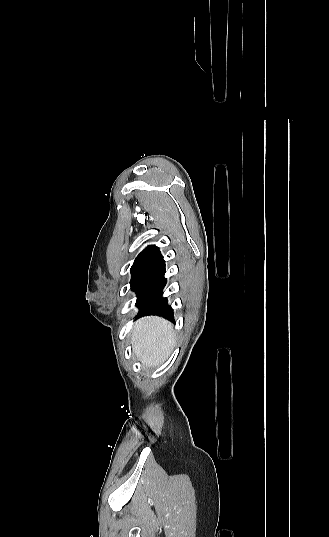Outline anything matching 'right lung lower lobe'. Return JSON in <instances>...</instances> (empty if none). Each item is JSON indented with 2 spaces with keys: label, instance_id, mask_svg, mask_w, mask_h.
Returning a JSON list of instances; mask_svg holds the SVG:
<instances>
[{
  "label": "right lung lower lobe",
  "instance_id": "right-lung-lower-lobe-1",
  "mask_svg": "<svg viewBox=\"0 0 329 537\" xmlns=\"http://www.w3.org/2000/svg\"><path fill=\"white\" fill-rule=\"evenodd\" d=\"M165 261L163 258L147 266L132 285L136 292V306L139 316L159 315L174 321L173 310L167 304V298L162 297L166 285Z\"/></svg>",
  "mask_w": 329,
  "mask_h": 537
}]
</instances>
